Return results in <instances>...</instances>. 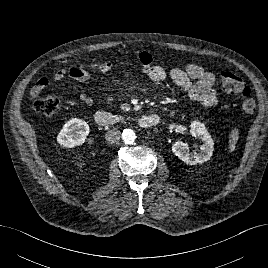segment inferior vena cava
<instances>
[{"mask_svg": "<svg viewBox=\"0 0 268 268\" xmlns=\"http://www.w3.org/2000/svg\"><path fill=\"white\" fill-rule=\"evenodd\" d=\"M120 138L121 132L117 128H112L105 134V139L109 144L118 143Z\"/></svg>", "mask_w": 268, "mask_h": 268, "instance_id": "602c4592", "label": "inferior vena cava"}]
</instances>
